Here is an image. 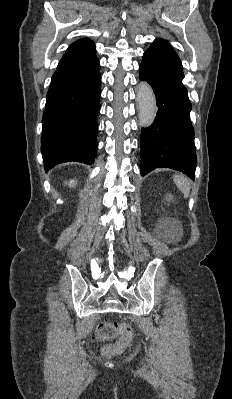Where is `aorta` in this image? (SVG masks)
Masks as SVG:
<instances>
[{
	"label": "aorta",
	"instance_id": "762f6f07",
	"mask_svg": "<svg viewBox=\"0 0 232 399\" xmlns=\"http://www.w3.org/2000/svg\"><path fill=\"white\" fill-rule=\"evenodd\" d=\"M137 101L139 106L140 124L143 127H148L155 119L157 106L154 92L151 86L145 81H142L139 84Z\"/></svg>",
	"mask_w": 232,
	"mask_h": 399
}]
</instances>
